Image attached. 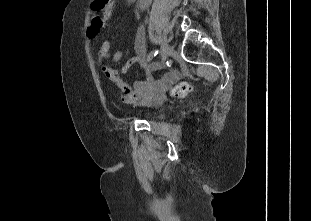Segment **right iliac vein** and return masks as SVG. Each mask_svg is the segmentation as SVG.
<instances>
[{"instance_id": "right-iliac-vein-1", "label": "right iliac vein", "mask_w": 311, "mask_h": 221, "mask_svg": "<svg viewBox=\"0 0 311 221\" xmlns=\"http://www.w3.org/2000/svg\"><path fill=\"white\" fill-rule=\"evenodd\" d=\"M171 53V47L168 44H163L161 49V62L164 63Z\"/></svg>"}]
</instances>
